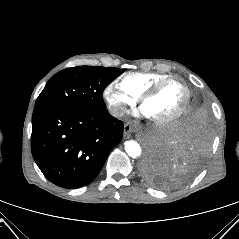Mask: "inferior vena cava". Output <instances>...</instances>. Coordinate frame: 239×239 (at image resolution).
<instances>
[{
  "instance_id": "602c4592",
  "label": "inferior vena cava",
  "mask_w": 239,
  "mask_h": 239,
  "mask_svg": "<svg viewBox=\"0 0 239 239\" xmlns=\"http://www.w3.org/2000/svg\"><path fill=\"white\" fill-rule=\"evenodd\" d=\"M126 108L123 106L111 107L109 112L114 117H121L124 115Z\"/></svg>"
}]
</instances>
